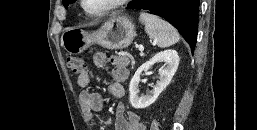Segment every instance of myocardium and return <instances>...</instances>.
<instances>
[{"instance_id": "obj_1", "label": "myocardium", "mask_w": 257, "mask_h": 130, "mask_svg": "<svg viewBox=\"0 0 257 130\" xmlns=\"http://www.w3.org/2000/svg\"><path fill=\"white\" fill-rule=\"evenodd\" d=\"M130 1L131 0H115L110 5H108L106 8H104L101 11H98V12L88 11L86 6H85V0H80V5H81L83 11L87 15L92 16V17H100V16H103V15L117 9V8H120V7L124 6L125 4H127Z\"/></svg>"}]
</instances>
